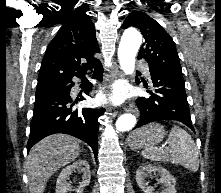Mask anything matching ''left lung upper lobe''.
<instances>
[{
    "mask_svg": "<svg viewBox=\"0 0 221 193\" xmlns=\"http://www.w3.org/2000/svg\"><path fill=\"white\" fill-rule=\"evenodd\" d=\"M130 26L140 29L145 39L139 51V59H145L149 67L182 75L174 42L157 21L144 12L133 11L125 19L123 28Z\"/></svg>",
    "mask_w": 221,
    "mask_h": 193,
    "instance_id": "5c2ea615",
    "label": "left lung upper lobe"
}]
</instances>
